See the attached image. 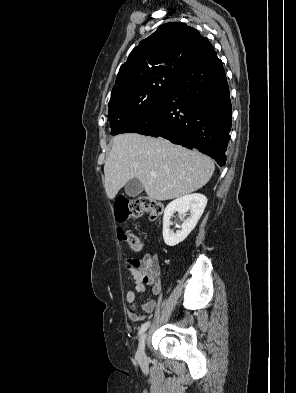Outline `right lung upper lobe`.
<instances>
[{
    "label": "right lung upper lobe",
    "instance_id": "right-lung-upper-lobe-1",
    "mask_svg": "<svg viewBox=\"0 0 296 393\" xmlns=\"http://www.w3.org/2000/svg\"><path fill=\"white\" fill-rule=\"evenodd\" d=\"M211 48L207 38L184 23L159 26L120 67L109 104L138 96L154 80H177Z\"/></svg>",
    "mask_w": 296,
    "mask_h": 393
}]
</instances>
